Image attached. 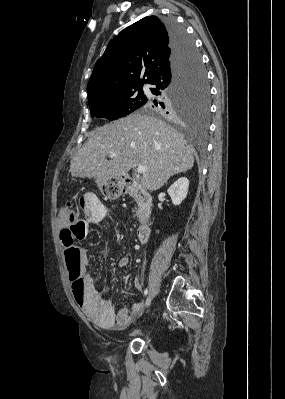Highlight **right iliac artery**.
I'll return each instance as SVG.
<instances>
[{
	"mask_svg": "<svg viewBox=\"0 0 285 399\" xmlns=\"http://www.w3.org/2000/svg\"><path fill=\"white\" fill-rule=\"evenodd\" d=\"M148 292H149V290H148V288H146V289L144 290V296H146V295L148 294Z\"/></svg>",
	"mask_w": 285,
	"mask_h": 399,
	"instance_id": "right-iliac-artery-1",
	"label": "right iliac artery"
}]
</instances>
